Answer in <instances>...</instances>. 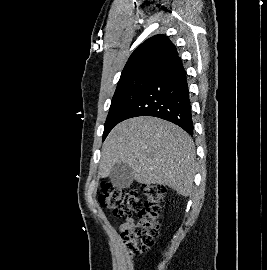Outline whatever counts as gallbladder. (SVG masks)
Wrapping results in <instances>:
<instances>
[{
	"instance_id": "bac80fb5",
	"label": "gallbladder",
	"mask_w": 267,
	"mask_h": 270,
	"mask_svg": "<svg viewBox=\"0 0 267 270\" xmlns=\"http://www.w3.org/2000/svg\"><path fill=\"white\" fill-rule=\"evenodd\" d=\"M109 178L115 187L119 189L128 188L134 180L133 170L125 163H117L113 166Z\"/></svg>"
}]
</instances>
